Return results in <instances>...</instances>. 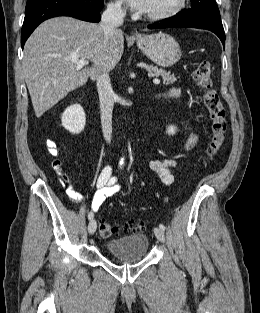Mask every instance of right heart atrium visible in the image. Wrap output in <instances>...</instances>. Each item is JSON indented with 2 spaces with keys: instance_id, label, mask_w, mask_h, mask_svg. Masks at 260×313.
<instances>
[{
  "instance_id": "right-heart-atrium-1",
  "label": "right heart atrium",
  "mask_w": 260,
  "mask_h": 313,
  "mask_svg": "<svg viewBox=\"0 0 260 313\" xmlns=\"http://www.w3.org/2000/svg\"><path fill=\"white\" fill-rule=\"evenodd\" d=\"M108 9L113 14H122L124 11L123 5L120 0L109 3Z\"/></svg>"
}]
</instances>
